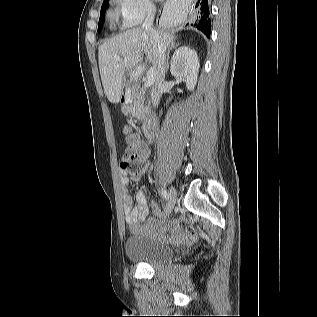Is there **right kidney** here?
<instances>
[{
    "instance_id": "ca27d5eb",
    "label": "right kidney",
    "mask_w": 317,
    "mask_h": 317,
    "mask_svg": "<svg viewBox=\"0 0 317 317\" xmlns=\"http://www.w3.org/2000/svg\"><path fill=\"white\" fill-rule=\"evenodd\" d=\"M199 67L196 51L182 46L173 54L170 71L173 76L183 78L187 89L192 91L197 83Z\"/></svg>"
}]
</instances>
